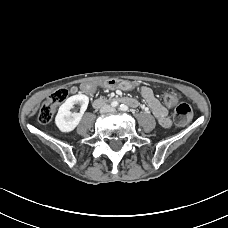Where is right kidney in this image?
Masks as SVG:
<instances>
[{
    "instance_id": "obj_1",
    "label": "right kidney",
    "mask_w": 228,
    "mask_h": 228,
    "mask_svg": "<svg viewBox=\"0 0 228 228\" xmlns=\"http://www.w3.org/2000/svg\"><path fill=\"white\" fill-rule=\"evenodd\" d=\"M89 103L88 96L84 94H77L69 97L59 108L55 117V124L61 132L73 131L82 119L84 112ZM75 104H80V112L72 113L70 110L74 108Z\"/></svg>"
}]
</instances>
